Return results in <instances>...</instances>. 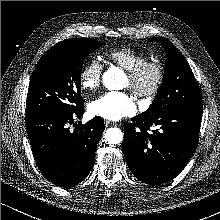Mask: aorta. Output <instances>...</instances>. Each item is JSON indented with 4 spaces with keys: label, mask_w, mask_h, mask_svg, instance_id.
Wrapping results in <instances>:
<instances>
[{
    "label": "aorta",
    "mask_w": 220,
    "mask_h": 220,
    "mask_svg": "<svg viewBox=\"0 0 220 220\" xmlns=\"http://www.w3.org/2000/svg\"><path fill=\"white\" fill-rule=\"evenodd\" d=\"M123 78L124 73L120 69L111 68L103 74L102 81L107 89L116 90ZM104 135L108 144H119L123 140V133L119 128H108Z\"/></svg>",
    "instance_id": "762f6f07"
}]
</instances>
